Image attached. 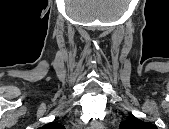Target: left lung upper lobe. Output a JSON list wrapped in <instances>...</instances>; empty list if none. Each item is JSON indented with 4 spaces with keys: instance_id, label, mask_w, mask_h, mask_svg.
<instances>
[{
    "instance_id": "1",
    "label": "left lung upper lobe",
    "mask_w": 169,
    "mask_h": 129,
    "mask_svg": "<svg viewBox=\"0 0 169 129\" xmlns=\"http://www.w3.org/2000/svg\"><path fill=\"white\" fill-rule=\"evenodd\" d=\"M119 129H157V127L136 117H129L126 121L120 123Z\"/></svg>"
}]
</instances>
